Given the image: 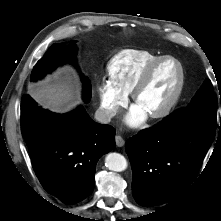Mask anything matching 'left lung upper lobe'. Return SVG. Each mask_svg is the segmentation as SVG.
Listing matches in <instances>:
<instances>
[{"label":"left lung upper lobe","mask_w":221,"mask_h":221,"mask_svg":"<svg viewBox=\"0 0 221 221\" xmlns=\"http://www.w3.org/2000/svg\"><path fill=\"white\" fill-rule=\"evenodd\" d=\"M175 127H205L216 130L215 99L210 80H206L191 103L165 118Z\"/></svg>","instance_id":"1"}]
</instances>
